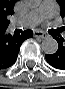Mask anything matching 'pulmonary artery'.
Instances as JSON below:
<instances>
[{"label":"pulmonary artery","mask_w":65,"mask_h":89,"mask_svg":"<svg viewBox=\"0 0 65 89\" xmlns=\"http://www.w3.org/2000/svg\"><path fill=\"white\" fill-rule=\"evenodd\" d=\"M55 13V3L51 0H45L37 9L13 21L12 25L20 27H34L35 25L39 24L43 19L52 18Z\"/></svg>","instance_id":"obj_1"}]
</instances>
